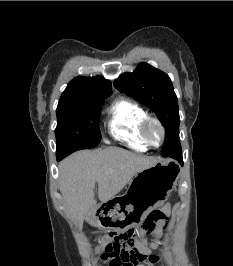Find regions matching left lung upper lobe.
Listing matches in <instances>:
<instances>
[{
  "mask_svg": "<svg viewBox=\"0 0 233 266\" xmlns=\"http://www.w3.org/2000/svg\"><path fill=\"white\" fill-rule=\"evenodd\" d=\"M114 85L155 112L166 131L162 156H168L180 145L178 99L169 76L141 63L132 73L122 74Z\"/></svg>",
  "mask_w": 233,
  "mask_h": 266,
  "instance_id": "5c2ea615",
  "label": "left lung upper lobe"
}]
</instances>
